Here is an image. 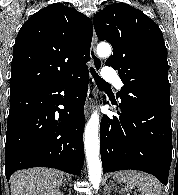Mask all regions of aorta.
<instances>
[{
  "label": "aorta",
  "instance_id": "762f6f07",
  "mask_svg": "<svg viewBox=\"0 0 178 195\" xmlns=\"http://www.w3.org/2000/svg\"><path fill=\"white\" fill-rule=\"evenodd\" d=\"M112 50L108 43L102 42L97 46L100 57L110 56ZM99 114L95 111L85 126L84 145L89 169V180L98 189L101 180L102 165L99 158Z\"/></svg>",
  "mask_w": 178,
  "mask_h": 195
}]
</instances>
